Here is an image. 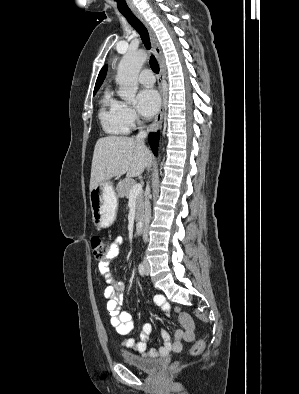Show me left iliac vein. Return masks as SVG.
Listing matches in <instances>:
<instances>
[{
    "label": "left iliac vein",
    "mask_w": 299,
    "mask_h": 394,
    "mask_svg": "<svg viewBox=\"0 0 299 394\" xmlns=\"http://www.w3.org/2000/svg\"><path fill=\"white\" fill-rule=\"evenodd\" d=\"M145 273L147 275L149 274V265H148V263H145Z\"/></svg>",
    "instance_id": "obj_1"
}]
</instances>
